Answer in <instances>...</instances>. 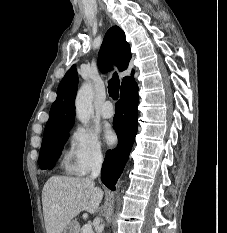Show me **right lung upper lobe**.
<instances>
[{
    "mask_svg": "<svg viewBox=\"0 0 227 233\" xmlns=\"http://www.w3.org/2000/svg\"><path fill=\"white\" fill-rule=\"evenodd\" d=\"M130 59V46L125 40L123 30L118 26L110 28L104 37L98 54L99 69L102 72H107L115 64L121 72L127 69ZM77 83V72L75 66H72L58 86L57 98L52 104L43 140L54 138L71 129L74 122ZM135 85L132 71L131 76L123 78L121 94L129 91Z\"/></svg>",
    "mask_w": 227,
    "mask_h": 233,
    "instance_id": "obj_1",
    "label": "right lung upper lobe"
}]
</instances>
